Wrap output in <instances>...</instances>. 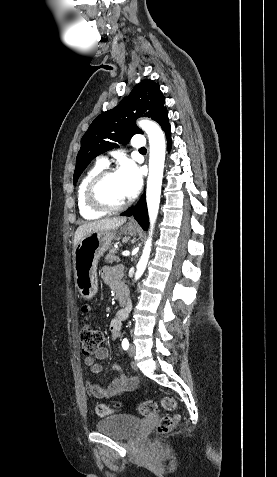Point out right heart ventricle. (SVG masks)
<instances>
[{
  "label": "right heart ventricle",
  "instance_id": "e07e8e85",
  "mask_svg": "<svg viewBox=\"0 0 277 477\" xmlns=\"http://www.w3.org/2000/svg\"><path fill=\"white\" fill-rule=\"evenodd\" d=\"M104 169V165L97 163L95 164L90 170L82 178L78 190H77V202H78V209L81 216L87 220H94L102 217L105 213L95 211L91 209L85 201V189L89 181L101 170Z\"/></svg>",
  "mask_w": 277,
  "mask_h": 477
}]
</instances>
